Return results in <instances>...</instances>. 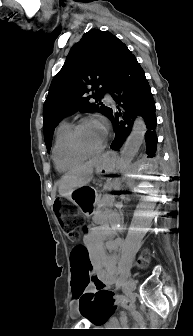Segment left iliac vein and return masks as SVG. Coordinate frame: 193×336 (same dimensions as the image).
Returning <instances> with one entry per match:
<instances>
[{"label":"left iliac vein","mask_w":193,"mask_h":336,"mask_svg":"<svg viewBox=\"0 0 193 336\" xmlns=\"http://www.w3.org/2000/svg\"><path fill=\"white\" fill-rule=\"evenodd\" d=\"M136 287V282L133 278H129L126 282L125 291L130 293L132 292Z\"/></svg>","instance_id":"left-iliac-vein-1"}]
</instances>
